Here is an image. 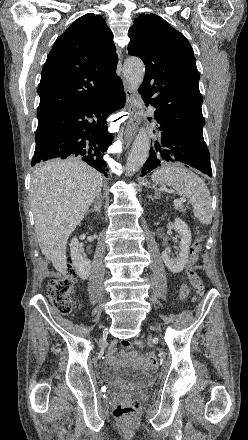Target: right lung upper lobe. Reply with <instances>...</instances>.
Returning a JSON list of instances; mask_svg holds the SVG:
<instances>
[{
	"label": "right lung upper lobe",
	"instance_id": "right-lung-upper-lobe-1",
	"mask_svg": "<svg viewBox=\"0 0 248 440\" xmlns=\"http://www.w3.org/2000/svg\"><path fill=\"white\" fill-rule=\"evenodd\" d=\"M104 19L86 14L55 41L38 86L41 119L68 105L106 94L116 75L118 56Z\"/></svg>",
	"mask_w": 248,
	"mask_h": 440
}]
</instances>
